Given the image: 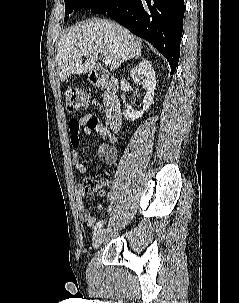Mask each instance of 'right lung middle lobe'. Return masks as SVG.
<instances>
[{"mask_svg": "<svg viewBox=\"0 0 239 303\" xmlns=\"http://www.w3.org/2000/svg\"><path fill=\"white\" fill-rule=\"evenodd\" d=\"M106 0H65V21L69 18L72 11H77L81 8L90 9L91 11L99 7Z\"/></svg>", "mask_w": 239, "mask_h": 303, "instance_id": "1", "label": "right lung middle lobe"}]
</instances>
